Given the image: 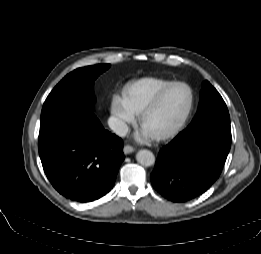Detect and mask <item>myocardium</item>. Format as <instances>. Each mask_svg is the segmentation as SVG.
I'll list each match as a JSON object with an SVG mask.
<instances>
[{"mask_svg":"<svg viewBox=\"0 0 261 254\" xmlns=\"http://www.w3.org/2000/svg\"><path fill=\"white\" fill-rule=\"evenodd\" d=\"M184 86L188 89L189 91V95H190V102H189V106L188 109L186 111V113L184 114V116L182 117V119L179 121V123L173 127L170 130L158 133L156 135H153L152 138L154 140H158V141H163V140H168L171 139L173 137H175L177 134H179L181 132V130L184 128V126L186 125V123L188 122L192 111L194 109V105H195V94L192 90V88L185 82L182 81H174L169 83L167 86H165L156 96L155 98L146 106L143 108V110L140 112V117H139V123L140 126L143 127V123L145 118L147 117V115L149 113H151L160 103V101L162 100V98L164 97V95L174 86Z\"/></svg>","mask_w":261,"mask_h":254,"instance_id":"myocardium-1","label":"myocardium"}]
</instances>
